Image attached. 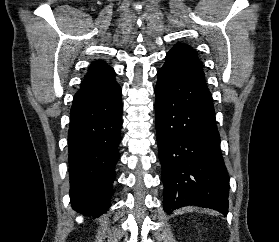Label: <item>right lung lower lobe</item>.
<instances>
[{"label":"right lung lower lobe","instance_id":"98d812e1","mask_svg":"<svg viewBox=\"0 0 279 242\" xmlns=\"http://www.w3.org/2000/svg\"><path fill=\"white\" fill-rule=\"evenodd\" d=\"M121 112L119 85L93 97L73 100L68 160L71 205L78 212L98 217L110 206L120 157Z\"/></svg>","mask_w":279,"mask_h":242}]
</instances>
